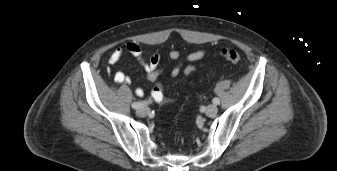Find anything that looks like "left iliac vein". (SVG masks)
Listing matches in <instances>:
<instances>
[{"label": "left iliac vein", "mask_w": 337, "mask_h": 171, "mask_svg": "<svg viewBox=\"0 0 337 171\" xmlns=\"http://www.w3.org/2000/svg\"><path fill=\"white\" fill-rule=\"evenodd\" d=\"M217 112H218V108H217V106H215L213 104L208 105L206 107V110H205L206 115L210 116V117L215 116L217 114Z\"/></svg>", "instance_id": "obj_1"}]
</instances>
